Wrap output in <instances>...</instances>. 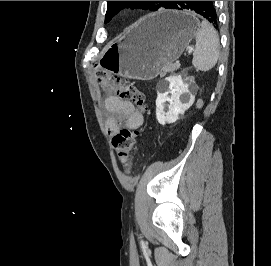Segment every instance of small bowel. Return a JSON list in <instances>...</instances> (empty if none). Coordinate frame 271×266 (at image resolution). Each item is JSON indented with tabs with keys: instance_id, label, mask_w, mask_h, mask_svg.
<instances>
[{
	"instance_id": "1",
	"label": "small bowel",
	"mask_w": 271,
	"mask_h": 266,
	"mask_svg": "<svg viewBox=\"0 0 271 266\" xmlns=\"http://www.w3.org/2000/svg\"><path fill=\"white\" fill-rule=\"evenodd\" d=\"M104 109L110 114L106 127L109 134H114L123 123L130 130H138L143 122V114L134 105L117 96H108L104 101Z\"/></svg>"
}]
</instances>
